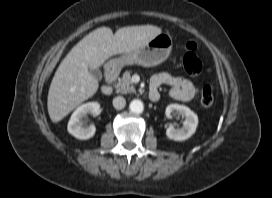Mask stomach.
Listing matches in <instances>:
<instances>
[{"label":"stomach","mask_w":272,"mask_h":198,"mask_svg":"<svg viewBox=\"0 0 272 198\" xmlns=\"http://www.w3.org/2000/svg\"><path fill=\"white\" fill-rule=\"evenodd\" d=\"M172 50V38L169 34H159L145 46L134 51L123 54L118 58L107 62V68L121 69L128 65H141L143 67H153L164 62Z\"/></svg>","instance_id":"1"}]
</instances>
